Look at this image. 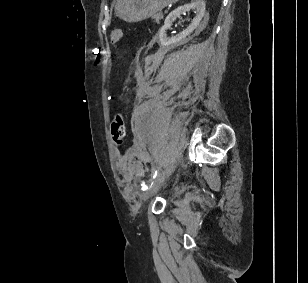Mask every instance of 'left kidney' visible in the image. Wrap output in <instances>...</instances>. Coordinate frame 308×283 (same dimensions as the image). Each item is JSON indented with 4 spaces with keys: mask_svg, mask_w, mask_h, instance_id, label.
I'll return each instance as SVG.
<instances>
[{
    "mask_svg": "<svg viewBox=\"0 0 308 283\" xmlns=\"http://www.w3.org/2000/svg\"><path fill=\"white\" fill-rule=\"evenodd\" d=\"M192 9H196V15L189 24V26L185 30H183L182 33L173 37H168L166 32L171 27L172 23L176 20V18H180L181 15L185 14L186 12H189ZM204 15H205L204 0H195L189 4L178 7L166 17L164 25L162 26V28L158 33L160 44L162 46H169L180 42L199 26Z\"/></svg>",
    "mask_w": 308,
    "mask_h": 283,
    "instance_id": "1",
    "label": "left kidney"
}]
</instances>
